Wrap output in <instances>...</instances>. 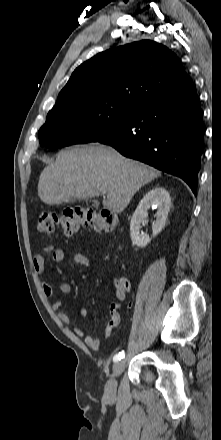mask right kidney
I'll use <instances>...</instances> for the list:
<instances>
[{
	"instance_id": "obj_1",
	"label": "right kidney",
	"mask_w": 221,
	"mask_h": 440,
	"mask_svg": "<svg viewBox=\"0 0 221 440\" xmlns=\"http://www.w3.org/2000/svg\"><path fill=\"white\" fill-rule=\"evenodd\" d=\"M170 205V195L163 187H155L144 195L130 222L131 241L134 246L143 248L151 241L149 236L140 234V224L147 218L149 208L157 209L155 214L156 221L152 227V236L155 237L165 226Z\"/></svg>"
}]
</instances>
